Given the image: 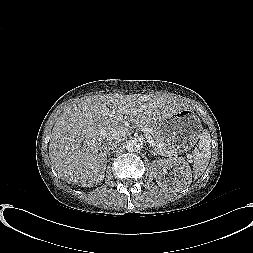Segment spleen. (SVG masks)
Instances as JSON below:
<instances>
[{
	"instance_id": "spleen-1",
	"label": "spleen",
	"mask_w": 253,
	"mask_h": 253,
	"mask_svg": "<svg viewBox=\"0 0 253 253\" xmlns=\"http://www.w3.org/2000/svg\"><path fill=\"white\" fill-rule=\"evenodd\" d=\"M199 150L193 162L194 176L197 178L207 168L211 158V138L208 132H203L199 140Z\"/></svg>"
}]
</instances>
